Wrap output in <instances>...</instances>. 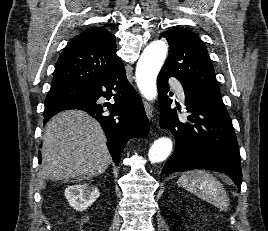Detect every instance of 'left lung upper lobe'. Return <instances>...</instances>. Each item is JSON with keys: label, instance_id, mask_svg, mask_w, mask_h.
Masks as SVG:
<instances>
[{"label": "left lung upper lobe", "instance_id": "1", "mask_svg": "<svg viewBox=\"0 0 268 231\" xmlns=\"http://www.w3.org/2000/svg\"><path fill=\"white\" fill-rule=\"evenodd\" d=\"M169 44V56L161 71L178 78L182 85L228 113L222 101L214 69L205 44L187 29L172 28L160 34Z\"/></svg>", "mask_w": 268, "mask_h": 231}]
</instances>
